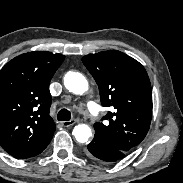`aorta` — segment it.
I'll return each mask as SVG.
<instances>
[{"mask_svg": "<svg viewBox=\"0 0 183 183\" xmlns=\"http://www.w3.org/2000/svg\"><path fill=\"white\" fill-rule=\"evenodd\" d=\"M64 85L70 92L77 95H82L88 90V81L79 72L66 73L64 77ZM72 133L80 143H86L92 136L91 128L86 124L75 126Z\"/></svg>", "mask_w": 183, "mask_h": 183, "instance_id": "762f6f07", "label": "aorta"}]
</instances>
